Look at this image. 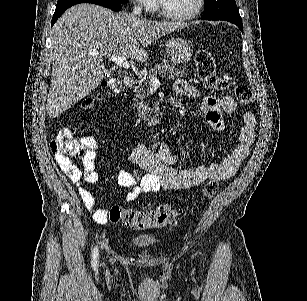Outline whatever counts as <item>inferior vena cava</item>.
Wrapping results in <instances>:
<instances>
[{"label": "inferior vena cava", "mask_w": 307, "mask_h": 301, "mask_svg": "<svg viewBox=\"0 0 307 301\" xmlns=\"http://www.w3.org/2000/svg\"><path fill=\"white\" fill-rule=\"evenodd\" d=\"M141 12H142V6H139V4H136V6H134L131 14H133V16H141Z\"/></svg>", "instance_id": "602c4592"}]
</instances>
